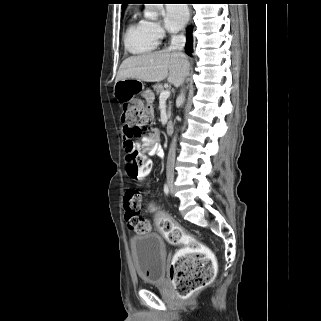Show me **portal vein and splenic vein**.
<instances>
[{"label": "portal vein and splenic vein", "mask_w": 321, "mask_h": 321, "mask_svg": "<svg viewBox=\"0 0 321 321\" xmlns=\"http://www.w3.org/2000/svg\"><path fill=\"white\" fill-rule=\"evenodd\" d=\"M169 97H170V90L167 89V90L161 92L159 99L160 100H165V99H167Z\"/></svg>", "instance_id": "portal-vein-and-splenic-vein-1"}]
</instances>
